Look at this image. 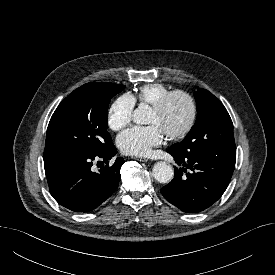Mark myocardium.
<instances>
[{"mask_svg":"<svg viewBox=\"0 0 275 275\" xmlns=\"http://www.w3.org/2000/svg\"><path fill=\"white\" fill-rule=\"evenodd\" d=\"M175 97H182L186 100L189 107V116L186 124L179 130L169 131L165 133V136L170 139H180L188 135L193 129L197 119V104L194 97L185 90H173L165 94L155 104L152 105V109L162 112L165 110L169 102Z\"/></svg>","mask_w":275,"mask_h":275,"instance_id":"obj_1","label":"myocardium"}]
</instances>
